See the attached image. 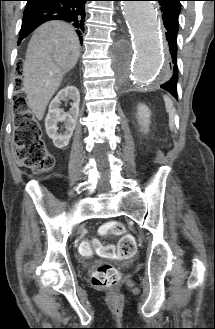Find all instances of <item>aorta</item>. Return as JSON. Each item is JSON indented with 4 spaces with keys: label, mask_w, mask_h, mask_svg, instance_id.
Segmentation results:
<instances>
[{
    "label": "aorta",
    "mask_w": 215,
    "mask_h": 329,
    "mask_svg": "<svg viewBox=\"0 0 215 329\" xmlns=\"http://www.w3.org/2000/svg\"><path fill=\"white\" fill-rule=\"evenodd\" d=\"M123 15L135 45L132 61L135 83L147 87L163 77V39L160 20L152 1H123Z\"/></svg>",
    "instance_id": "762f6f07"
}]
</instances>
